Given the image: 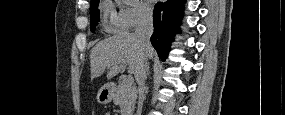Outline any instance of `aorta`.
I'll return each instance as SVG.
<instances>
[{"label":"aorta","instance_id":"1","mask_svg":"<svg viewBox=\"0 0 285 115\" xmlns=\"http://www.w3.org/2000/svg\"><path fill=\"white\" fill-rule=\"evenodd\" d=\"M124 2L126 3V4H134V3H136L137 2V0H124Z\"/></svg>","mask_w":285,"mask_h":115}]
</instances>
